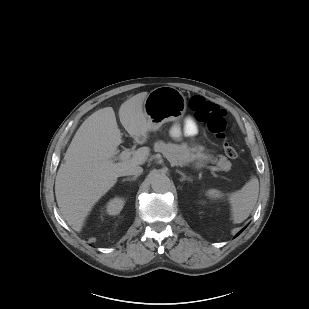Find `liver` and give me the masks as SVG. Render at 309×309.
I'll list each match as a JSON object with an SVG mask.
<instances>
[{
    "label": "liver",
    "mask_w": 309,
    "mask_h": 309,
    "mask_svg": "<svg viewBox=\"0 0 309 309\" xmlns=\"http://www.w3.org/2000/svg\"><path fill=\"white\" fill-rule=\"evenodd\" d=\"M147 95L136 94L119 108L122 126L138 144L147 141L150 131L143 111ZM121 143L122 133L112 107L94 112L75 133L55 180L58 207L75 231L82 230L93 206L115 185L123 169L146 162L149 148L142 147L131 158L115 163Z\"/></svg>",
    "instance_id": "liver-1"
}]
</instances>
